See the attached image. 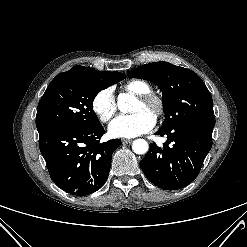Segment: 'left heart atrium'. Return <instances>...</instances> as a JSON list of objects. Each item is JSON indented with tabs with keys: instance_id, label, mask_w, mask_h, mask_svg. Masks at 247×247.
<instances>
[{
	"instance_id": "left-heart-atrium-1",
	"label": "left heart atrium",
	"mask_w": 247,
	"mask_h": 247,
	"mask_svg": "<svg viewBox=\"0 0 247 247\" xmlns=\"http://www.w3.org/2000/svg\"><path fill=\"white\" fill-rule=\"evenodd\" d=\"M154 125V115L139 110L114 119L109 126V133L113 137L132 138L148 132Z\"/></svg>"
}]
</instances>
